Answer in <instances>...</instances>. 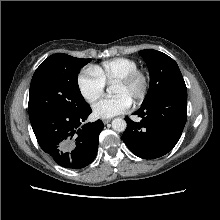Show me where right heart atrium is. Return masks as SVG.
Returning a JSON list of instances; mask_svg holds the SVG:
<instances>
[{
    "label": "right heart atrium",
    "instance_id": "obj_1",
    "mask_svg": "<svg viewBox=\"0 0 220 220\" xmlns=\"http://www.w3.org/2000/svg\"><path fill=\"white\" fill-rule=\"evenodd\" d=\"M77 85L81 96L88 103L99 98L105 89V83L97 76L93 67L81 71L77 78Z\"/></svg>",
    "mask_w": 220,
    "mask_h": 220
}]
</instances>
